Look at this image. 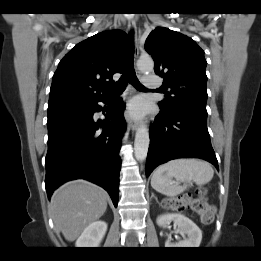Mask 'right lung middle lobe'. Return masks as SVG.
<instances>
[{
	"label": "right lung middle lobe",
	"instance_id": "right-lung-middle-lobe-1",
	"mask_svg": "<svg viewBox=\"0 0 261 261\" xmlns=\"http://www.w3.org/2000/svg\"><path fill=\"white\" fill-rule=\"evenodd\" d=\"M83 102L77 101H52L48 103V111L56 110L65 106L80 105Z\"/></svg>",
	"mask_w": 261,
	"mask_h": 261
}]
</instances>
